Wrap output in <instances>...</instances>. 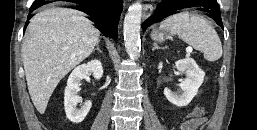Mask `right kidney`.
Returning <instances> with one entry per match:
<instances>
[{"instance_id":"obj_1","label":"right kidney","mask_w":257,"mask_h":130,"mask_svg":"<svg viewBox=\"0 0 257 130\" xmlns=\"http://www.w3.org/2000/svg\"><path fill=\"white\" fill-rule=\"evenodd\" d=\"M89 73H92L97 80L103 76V68L99 60H92L87 64L76 67L67 80L64 93V107L67 118L74 124L82 122L92 106L91 101H86L80 109L76 108L78 103H82V99L77 95L81 80L86 78Z\"/></svg>"}]
</instances>
